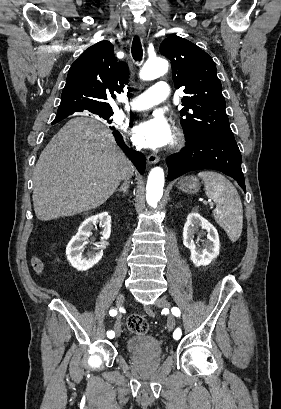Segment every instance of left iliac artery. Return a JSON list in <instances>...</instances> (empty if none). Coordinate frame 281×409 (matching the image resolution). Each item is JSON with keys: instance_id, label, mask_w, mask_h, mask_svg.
<instances>
[{"instance_id": "44dca946", "label": "left iliac artery", "mask_w": 281, "mask_h": 409, "mask_svg": "<svg viewBox=\"0 0 281 409\" xmlns=\"http://www.w3.org/2000/svg\"><path fill=\"white\" fill-rule=\"evenodd\" d=\"M172 314H174L176 317L180 316V310L177 307H173L172 308ZM182 333H181V329L177 328L174 333H173V337L177 340L181 337Z\"/></svg>"}]
</instances>
